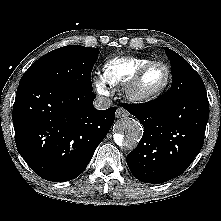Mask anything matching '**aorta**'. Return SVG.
Instances as JSON below:
<instances>
[{"mask_svg": "<svg viewBox=\"0 0 221 221\" xmlns=\"http://www.w3.org/2000/svg\"><path fill=\"white\" fill-rule=\"evenodd\" d=\"M115 131V143L128 150L135 149L143 135V127L141 123L129 117L119 120L116 123Z\"/></svg>", "mask_w": 221, "mask_h": 221, "instance_id": "obj_1", "label": "aorta"}]
</instances>
